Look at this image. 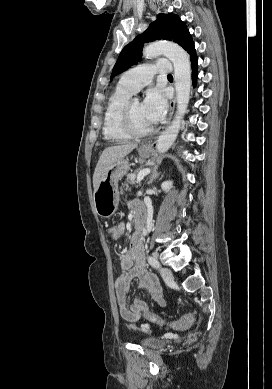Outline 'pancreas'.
<instances>
[{"label":"pancreas","instance_id":"1","mask_svg":"<svg viewBox=\"0 0 272 389\" xmlns=\"http://www.w3.org/2000/svg\"><path fill=\"white\" fill-rule=\"evenodd\" d=\"M136 173H130L127 175V179H126V182L124 184H122L123 187H128L129 184H135L136 181Z\"/></svg>","mask_w":272,"mask_h":389}]
</instances>
